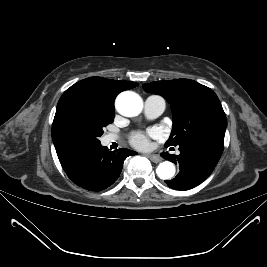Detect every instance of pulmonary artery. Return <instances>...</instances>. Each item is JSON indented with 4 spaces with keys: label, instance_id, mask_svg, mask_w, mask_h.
<instances>
[{
    "label": "pulmonary artery",
    "instance_id": "pulmonary-artery-1",
    "mask_svg": "<svg viewBox=\"0 0 267 267\" xmlns=\"http://www.w3.org/2000/svg\"><path fill=\"white\" fill-rule=\"evenodd\" d=\"M166 108V101L163 97L158 95H151L146 98L144 103V111L148 118H156L160 116ZM117 137L115 135H108L109 142L114 141Z\"/></svg>",
    "mask_w": 267,
    "mask_h": 267
}]
</instances>
